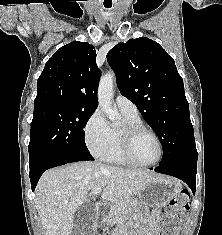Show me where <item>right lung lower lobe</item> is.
Here are the masks:
<instances>
[{"mask_svg":"<svg viewBox=\"0 0 222 235\" xmlns=\"http://www.w3.org/2000/svg\"><path fill=\"white\" fill-rule=\"evenodd\" d=\"M93 160H94L93 157H81V156H57L47 159L42 163H40L38 166L30 168L31 188L34 191L39 178L44 173V171H46L49 168L77 161H93Z\"/></svg>","mask_w":222,"mask_h":235,"instance_id":"obj_1","label":"right lung lower lobe"}]
</instances>
